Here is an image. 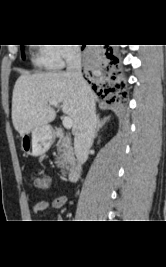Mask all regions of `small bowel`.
Listing matches in <instances>:
<instances>
[{
    "mask_svg": "<svg viewBox=\"0 0 166 267\" xmlns=\"http://www.w3.org/2000/svg\"><path fill=\"white\" fill-rule=\"evenodd\" d=\"M67 202V197L65 195H58L51 200L40 201L34 206V212L41 213L45 212L49 208L61 209Z\"/></svg>",
    "mask_w": 166,
    "mask_h": 267,
    "instance_id": "1",
    "label": "small bowel"
}]
</instances>
